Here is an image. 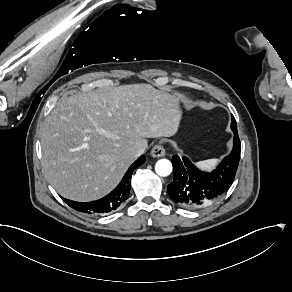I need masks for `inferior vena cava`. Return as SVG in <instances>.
<instances>
[{
	"label": "inferior vena cava",
	"instance_id": "602c4592",
	"mask_svg": "<svg viewBox=\"0 0 292 292\" xmlns=\"http://www.w3.org/2000/svg\"><path fill=\"white\" fill-rule=\"evenodd\" d=\"M146 147H138L136 148V157H139L140 155H142L145 151Z\"/></svg>",
	"mask_w": 292,
	"mask_h": 292
}]
</instances>
